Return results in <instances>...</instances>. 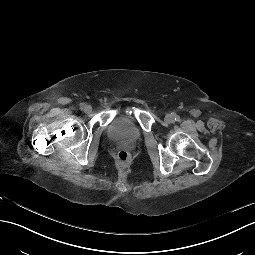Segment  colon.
<instances>
[{
    "label": "colon",
    "instance_id": "colon-1",
    "mask_svg": "<svg viewBox=\"0 0 255 255\" xmlns=\"http://www.w3.org/2000/svg\"><path fill=\"white\" fill-rule=\"evenodd\" d=\"M117 160H118L120 163H122V164L127 163L128 160H129V154H128V152H126V151H120V152H118V154H117Z\"/></svg>",
    "mask_w": 255,
    "mask_h": 255
}]
</instances>
